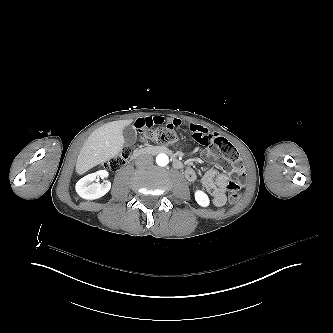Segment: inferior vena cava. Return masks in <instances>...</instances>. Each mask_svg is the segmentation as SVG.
<instances>
[{
  "instance_id": "inferior-vena-cava-1",
  "label": "inferior vena cava",
  "mask_w": 333,
  "mask_h": 333,
  "mask_svg": "<svg viewBox=\"0 0 333 333\" xmlns=\"http://www.w3.org/2000/svg\"><path fill=\"white\" fill-rule=\"evenodd\" d=\"M153 163V156L150 154H142L135 160L136 166H146Z\"/></svg>"
}]
</instances>
